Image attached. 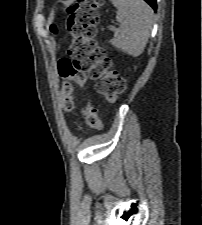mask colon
Listing matches in <instances>:
<instances>
[{
	"label": "colon",
	"instance_id": "colon-1",
	"mask_svg": "<svg viewBox=\"0 0 202 225\" xmlns=\"http://www.w3.org/2000/svg\"><path fill=\"white\" fill-rule=\"evenodd\" d=\"M101 3L102 0H76L69 10L66 34L71 39L70 58L59 63V73L64 80L61 103L66 111L73 107L72 82L86 91L88 76L97 79V90L108 102H115L125 89V82L114 69L112 59L94 39ZM80 114L89 127H101L89 96Z\"/></svg>",
	"mask_w": 202,
	"mask_h": 225
}]
</instances>
